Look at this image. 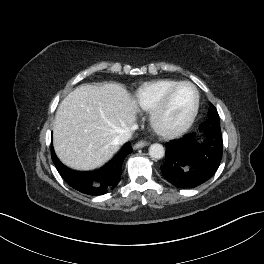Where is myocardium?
Returning a JSON list of instances; mask_svg holds the SVG:
<instances>
[{"label": "myocardium", "mask_w": 264, "mask_h": 264, "mask_svg": "<svg viewBox=\"0 0 264 264\" xmlns=\"http://www.w3.org/2000/svg\"><path fill=\"white\" fill-rule=\"evenodd\" d=\"M190 86L194 92V102L187 118L179 125L168 127L161 123L160 119L164 114L173 93L181 86ZM200 108V92L197 86L191 81H179L171 86L164 94L159 103L150 111L149 124L153 131L158 135L166 138H174L185 133L197 118Z\"/></svg>", "instance_id": "f54148a6"}]
</instances>
